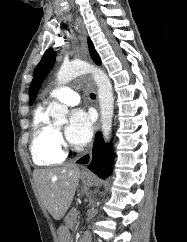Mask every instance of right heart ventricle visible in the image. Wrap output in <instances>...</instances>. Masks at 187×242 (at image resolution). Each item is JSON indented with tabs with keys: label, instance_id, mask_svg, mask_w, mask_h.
Returning a JSON list of instances; mask_svg holds the SVG:
<instances>
[{
	"label": "right heart ventricle",
	"instance_id": "obj_1",
	"mask_svg": "<svg viewBox=\"0 0 187 242\" xmlns=\"http://www.w3.org/2000/svg\"><path fill=\"white\" fill-rule=\"evenodd\" d=\"M31 153L34 163L40 166L57 165L66 158L44 103L33 114Z\"/></svg>",
	"mask_w": 187,
	"mask_h": 242
}]
</instances>
